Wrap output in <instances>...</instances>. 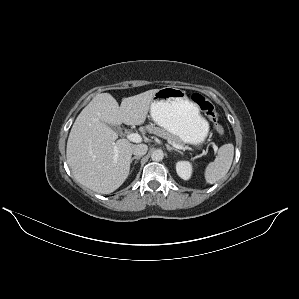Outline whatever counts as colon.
<instances>
[{"instance_id":"5ec220e1","label":"colon","mask_w":299,"mask_h":299,"mask_svg":"<svg viewBox=\"0 0 299 299\" xmlns=\"http://www.w3.org/2000/svg\"><path fill=\"white\" fill-rule=\"evenodd\" d=\"M192 101L202 112L205 113L209 120L214 124V127L218 134H224V127L219 122L218 114L214 105L200 93L193 94Z\"/></svg>"}]
</instances>
